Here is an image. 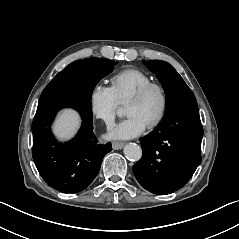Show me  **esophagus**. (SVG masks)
Returning <instances> with one entry per match:
<instances>
[{
	"mask_svg": "<svg viewBox=\"0 0 239 239\" xmlns=\"http://www.w3.org/2000/svg\"><path fill=\"white\" fill-rule=\"evenodd\" d=\"M123 146H124L123 142H119V141L112 142V147H113L114 150L122 149Z\"/></svg>",
	"mask_w": 239,
	"mask_h": 239,
	"instance_id": "1",
	"label": "esophagus"
}]
</instances>
